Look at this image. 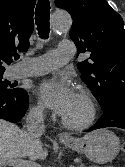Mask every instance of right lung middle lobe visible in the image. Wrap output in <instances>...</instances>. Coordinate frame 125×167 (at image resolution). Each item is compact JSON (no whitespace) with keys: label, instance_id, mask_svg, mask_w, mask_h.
<instances>
[{"label":"right lung middle lobe","instance_id":"dd1d6c3e","mask_svg":"<svg viewBox=\"0 0 125 167\" xmlns=\"http://www.w3.org/2000/svg\"><path fill=\"white\" fill-rule=\"evenodd\" d=\"M3 73L0 72V90L5 91L9 95H17L20 92L19 88H15L16 85L11 84L10 81L3 78Z\"/></svg>","mask_w":125,"mask_h":167}]
</instances>
